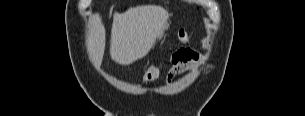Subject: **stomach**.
Instances as JSON below:
<instances>
[{
    "instance_id": "obj_1",
    "label": "stomach",
    "mask_w": 305,
    "mask_h": 116,
    "mask_svg": "<svg viewBox=\"0 0 305 116\" xmlns=\"http://www.w3.org/2000/svg\"><path fill=\"white\" fill-rule=\"evenodd\" d=\"M168 26H169V25H168L167 23L164 24V26H163V28H162V30H161L159 36H158L159 39H161V38L163 37L164 31H165L166 29H168Z\"/></svg>"
}]
</instances>
